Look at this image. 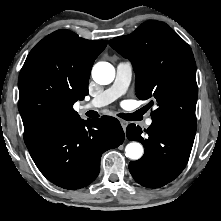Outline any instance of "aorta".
<instances>
[{
	"label": "aorta",
	"instance_id": "aorta-1",
	"mask_svg": "<svg viewBox=\"0 0 221 221\" xmlns=\"http://www.w3.org/2000/svg\"><path fill=\"white\" fill-rule=\"evenodd\" d=\"M94 81L100 85L110 84L115 77V69L108 62H98L92 69ZM125 155L132 159L138 160L143 155V147L138 142L129 143L125 148Z\"/></svg>",
	"mask_w": 221,
	"mask_h": 221
}]
</instances>
